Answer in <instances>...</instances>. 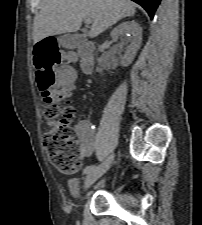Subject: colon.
I'll return each instance as SVG.
<instances>
[{
    "mask_svg": "<svg viewBox=\"0 0 202 225\" xmlns=\"http://www.w3.org/2000/svg\"><path fill=\"white\" fill-rule=\"evenodd\" d=\"M33 53L36 56V76L44 103V117L49 121L58 120L57 126L44 135L48 158L61 173H74L80 167V149L71 126L74 110L63 105L67 96L66 87L54 85L55 79L64 78V75L53 71V67L66 64L71 56L67 51L60 50L57 37L39 40ZM67 76L73 77V74Z\"/></svg>",
    "mask_w": 202,
    "mask_h": 225,
    "instance_id": "colon-1",
    "label": "colon"
}]
</instances>
